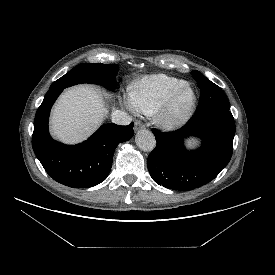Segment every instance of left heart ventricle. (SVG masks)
<instances>
[{"instance_id": "1", "label": "left heart ventricle", "mask_w": 275, "mask_h": 275, "mask_svg": "<svg viewBox=\"0 0 275 275\" xmlns=\"http://www.w3.org/2000/svg\"><path fill=\"white\" fill-rule=\"evenodd\" d=\"M190 97H191V94L187 90L183 91L180 94L178 101H177V106H176V110L178 112L182 111L187 106V104L189 103Z\"/></svg>"}]
</instances>
